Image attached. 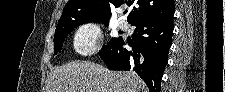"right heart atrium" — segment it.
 Masks as SVG:
<instances>
[{
  "mask_svg": "<svg viewBox=\"0 0 225 92\" xmlns=\"http://www.w3.org/2000/svg\"><path fill=\"white\" fill-rule=\"evenodd\" d=\"M102 42V30L95 22L79 26L73 35V49L80 56L92 55L100 49Z\"/></svg>",
  "mask_w": 225,
  "mask_h": 92,
  "instance_id": "right-heart-atrium-1",
  "label": "right heart atrium"
}]
</instances>
